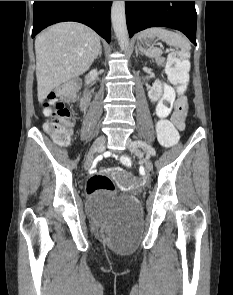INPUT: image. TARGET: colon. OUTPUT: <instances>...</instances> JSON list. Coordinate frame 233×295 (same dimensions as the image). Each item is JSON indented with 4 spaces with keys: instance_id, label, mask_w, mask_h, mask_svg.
Listing matches in <instances>:
<instances>
[{
    "instance_id": "obj_1",
    "label": "colon",
    "mask_w": 233,
    "mask_h": 295,
    "mask_svg": "<svg viewBox=\"0 0 233 295\" xmlns=\"http://www.w3.org/2000/svg\"><path fill=\"white\" fill-rule=\"evenodd\" d=\"M189 62L182 51L174 52L167 61L166 71L170 80L178 86L179 93L187 88V71ZM77 81H70L51 92L44 102V112L49 118L46 124L47 131L54 141L60 145L67 144L72 136L74 121L64 104V99L73 96L78 88ZM157 136L160 144L171 148L177 145L179 136L174 125L168 120H159L157 123ZM120 162L125 167L132 165L129 156H122ZM86 189L88 194L99 192L113 193L115 186L112 180L102 174H93L87 181Z\"/></svg>"
}]
</instances>
